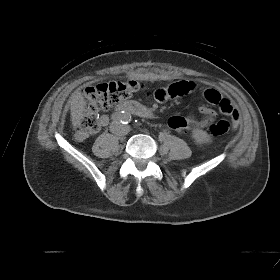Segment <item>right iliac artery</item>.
I'll use <instances>...</instances> for the list:
<instances>
[{
	"label": "right iliac artery",
	"instance_id": "82829eb1",
	"mask_svg": "<svg viewBox=\"0 0 280 280\" xmlns=\"http://www.w3.org/2000/svg\"><path fill=\"white\" fill-rule=\"evenodd\" d=\"M122 113H123V112L114 114V115L112 116V119L115 120V121L120 120V119L122 118Z\"/></svg>",
	"mask_w": 280,
	"mask_h": 280
}]
</instances>
